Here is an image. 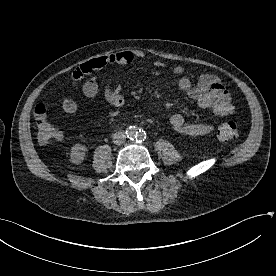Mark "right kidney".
<instances>
[{"mask_svg": "<svg viewBox=\"0 0 276 276\" xmlns=\"http://www.w3.org/2000/svg\"><path fill=\"white\" fill-rule=\"evenodd\" d=\"M86 151H87V148L85 145L75 144L71 148L70 161L74 164H81L85 158Z\"/></svg>", "mask_w": 276, "mask_h": 276, "instance_id": "obj_1", "label": "right kidney"}]
</instances>
